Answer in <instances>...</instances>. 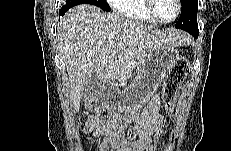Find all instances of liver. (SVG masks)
I'll return each mask as SVG.
<instances>
[{
	"instance_id": "6515ba94",
	"label": "liver",
	"mask_w": 231,
	"mask_h": 151,
	"mask_svg": "<svg viewBox=\"0 0 231 151\" xmlns=\"http://www.w3.org/2000/svg\"><path fill=\"white\" fill-rule=\"evenodd\" d=\"M57 32L75 109L79 108L81 91L93 73L100 83H110L120 75H130L153 50L180 46L190 40L180 31L164 32L89 4L69 9L58 23Z\"/></svg>"
}]
</instances>
